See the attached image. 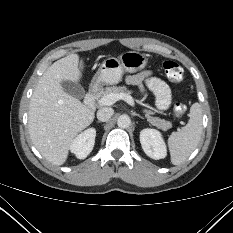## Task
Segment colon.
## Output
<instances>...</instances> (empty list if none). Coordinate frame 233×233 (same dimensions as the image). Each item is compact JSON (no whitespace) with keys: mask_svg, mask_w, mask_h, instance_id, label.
<instances>
[{"mask_svg":"<svg viewBox=\"0 0 233 233\" xmlns=\"http://www.w3.org/2000/svg\"><path fill=\"white\" fill-rule=\"evenodd\" d=\"M162 68L169 81L175 84H179L183 81L184 72L182 67L175 61L164 60L162 62ZM187 107L183 102H177L174 105V114L180 118L185 115Z\"/></svg>","mask_w":233,"mask_h":233,"instance_id":"obj_1","label":"colon"}]
</instances>
